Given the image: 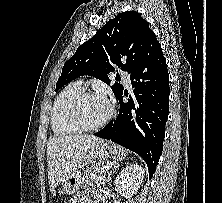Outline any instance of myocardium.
<instances>
[{
    "label": "myocardium",
    "instance_id": "f54148a6",
    "mask_svg": "<svg viewBox=\"0 0 222 203\" xmlns=\"http://www.w3.org/2000/svg\"><path fill=\"white\" fill-rule=\"evenodd\" d=\"M90 97H102L109 103L110 111L109 114L99 123L94 125H89L84 122L81 116V105L85 99ZM115 115V109L112 103L102 94L99 92H82L80 93L75 99L72 101L70 108H69V116L73 124L80 129L81 131H95L102 127H104Z\"/></svg>",
    "mask_w": 222,
    "mask_h": 203
}]
</instances>
